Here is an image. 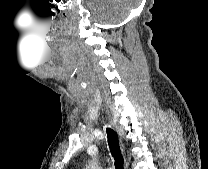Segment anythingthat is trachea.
Segmentation results:
<instances>
[{"instance_id":"1","label":"trachea","mask_w":208,"mask_h":169,"mask_svg":"<svg viewBox=\"0 0 208 169\" xmlns=\"http://www.w3.org/2000/svg\"><path fill=\"white\" fill-rule=\"evenodd\" d=\"M106 132H107L110 152L115 160V168L116 169H123L124 160H123V157L121 156V153H120L117 134L111 128H107Z\"/></svg>"}]
</instances>
